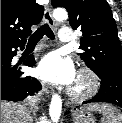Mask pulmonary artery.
Segmentation results:
<instances>
[{"label":"pulmonary artery","mask_w":122,"mask_h":123,"mask_svg":"<svg viewBox=\"0 0 122 123\" xmlns=\"http://www.w3.org/2000/svg\"><path fill=\"white\" fill-rule=\"evenodd\" d=\"M58 39L61 43H68L72 41L73 34L72 30L68 27H63L58 32Z\"/></svg>","instance_id":"e3ab8cb5"}]
</instances>
